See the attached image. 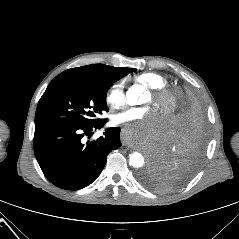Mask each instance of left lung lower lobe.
Here are the masks:
<instances>
[{
	"mask_svg": "<svg viewBox=\"0 0 239 239\" xmlns=\"http://www.w3.org/2000/svg\"><path fill=\"white\" fill-rule=\"evenodd\" d=\"M206 122L198 96L181 97L171 127L151 157L149 170L179 187L193 176L203 155Z\"/></svg>",
	"mask_w": 239,
	"mask_h": 239,
	"instance_id": "0a47b994",
	"label": "left lung lower lobe"
}]
</instances>
